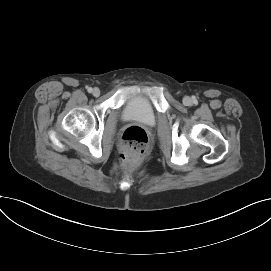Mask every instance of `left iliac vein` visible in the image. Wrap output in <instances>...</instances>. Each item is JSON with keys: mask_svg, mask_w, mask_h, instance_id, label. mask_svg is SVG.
I'll use <instances>...</instances> for the list:
<instances>
[{"mask_svg": "<svg viewBox=\"0 0 271 271\" xmlns=\"http://www.w3.org/2000/svg\"><path fill=\"white\" fill-rule=\"evenodd\" d=\"M191 99L189 98V97H185L184 99H183V103L185 104V105H190L191 104Z\"/></svg>", "mask_w": 271, "mask_h": 271, "instance_id": "4c4485c4", "label": "left iliac vein"}]
</instances>
